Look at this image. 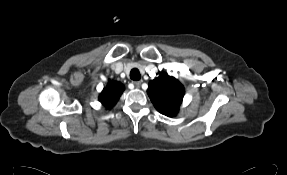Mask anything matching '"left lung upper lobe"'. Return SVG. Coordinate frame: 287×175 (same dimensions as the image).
Instances as JSON below:
<instances>
[{"label":"left lung upper lobe","instance_id":"5c2ea615","mask_svg":"<svg viewBox=\"0 0 287 175\" xmlns=\"http://www.w3.org/2000/svg\"><path fill=\"white\" fill-rule=\"evenodd\" d=\"M147 93L157 111L173 117L179 111L185 91L177 79L163 73L149 82Z\"/></svg>","mask_w":287,"mask_h":175}]
</instances>
